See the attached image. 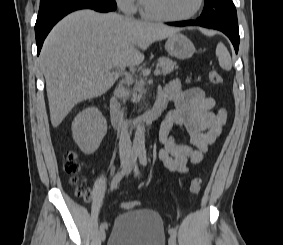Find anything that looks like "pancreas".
Segmentation results:
<instances>
[{
    "label": "pancreas",
    "instance_id": "cf45deb5",
    "mask_svg": "<svg viewBox=\"0 0 283 245\" xmlns=\"http://www.w3.org/2000/svg\"><path fill=\"white\" fill-rule=\"evenodd\" d=\"M158 67L161 68V72L166 75L174 70V68H177L176 63L173 62L171 59L166 57H161L158 59ZM135 91L139 92V95L133 94V101H139L142 97V94L145 92L144 89V82L142 80L138 81L135 86Z\"/></svg>",
    "mask_w": 283,
    "mask_h": 245
}]
</instances>
